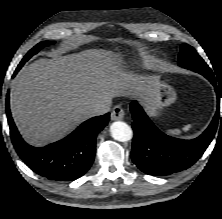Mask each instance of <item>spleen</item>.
Here are the masks:
<instances>
[{
	"label": "spleen",
	"mask_w": 222,
	"mask_h": 219,
	"mask_svg": "<svg viewBox=\"0 0 222 219\" xmlns=\"http://www.w3.org/2000/svg\"><path fill=\"white\" fill-rule=\"evenodd\" d=\"M190 128H191V125L189 124V125H186L183 128V130L188 131ZM167 132L171 135H174V136L179 135L181 133V131L179 129L168 130Z\"/></svg>",
	"instance_id": "3e777b00"
}]
</instances>
